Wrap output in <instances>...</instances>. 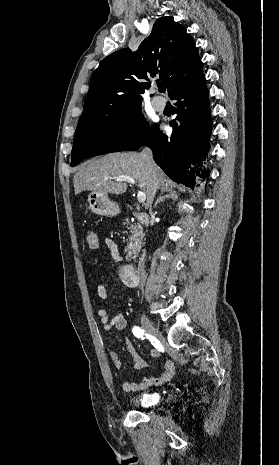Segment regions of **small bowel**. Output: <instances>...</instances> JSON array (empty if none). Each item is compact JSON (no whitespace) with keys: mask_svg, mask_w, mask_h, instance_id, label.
<instances>
[{"mask_svg":"<svg viewBox=\"0 0 279 465\" xmlns=\"http://www.w3.org/2000/svg\"><path fill=\"white\" fill-rule=\"evenodd\" d=\"M105 246L107 247L111 257L117 261H122V256L120 255L119 248L117 243L111 239H105ZM126 267V264L121 267L119 272V277L122 279L123 270ZM123 281V280H122ZM97 295L101 300H106L108 298V288L104 284H100L97 287ZM99 318L103 323V329L109 331L112 329L124 330L127 326V321L123 312H117L113 315H110L107 309H100L98 312ZM127 350L129 355L132 358L134 368L137 370L144 369L148 366L147 360L139 355L134 344L128 338L125 340ZM150 358H157L159 352L156 349H152L149 354ZM110 360L113 366L116 369L122 367V361L116 351L111 350L109 352ZM175 366L174 363L170 360H167L164 364L162 373L157 377H144L141 382H128L125 381L122 383V389L125 392H135L147 389L151 386L162 385L165 382L169 381L174 374Z\"/></svg>","mask_w":279,"mask_h":465,"instance_id":"1","label":"small bowel"}]
</instances>
